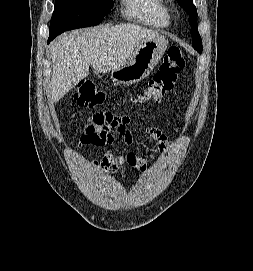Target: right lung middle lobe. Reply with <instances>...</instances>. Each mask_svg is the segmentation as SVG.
I'll list each match as a JSON object with an SVG mask.
<instances>
[{"instance_id":"obj_1","label":"right lung middle lobe","mask_w":253,"mask_h":271,"mask_svg":"<svg viewBox=\"0 0 253 271\" xmlns=\"http://www.w3.org/2000/svg\"><path fill=\"white\" fill-rule=\"evenodd\" d=\"M113 6L112 0H55L49 36L99 24Z\"/></svg>"}]
</instances>
